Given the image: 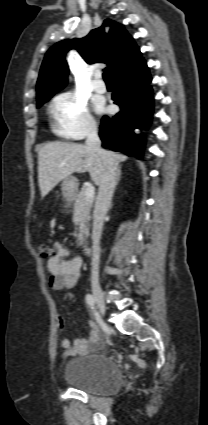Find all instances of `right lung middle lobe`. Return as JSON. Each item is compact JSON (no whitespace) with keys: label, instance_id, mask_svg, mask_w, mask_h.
Listing matches in <instances>:
<instances>
[{"label":"right lung middle lobe","instance_id":"obj_1","mask_svg":"<svg viewBox=\"0 0 208 425\" xmlns=\"http://www.w3.org/2000/svg\"><path fill=\"white\" fill-rule=\"evenodd\" d=\"M54 94H51L49 96H46L45 98H43L39 103H37V108H39L40 106H42L46 101H48Z\"/></svg>","mask_w":208,"mask_h":425}]
</instances>
